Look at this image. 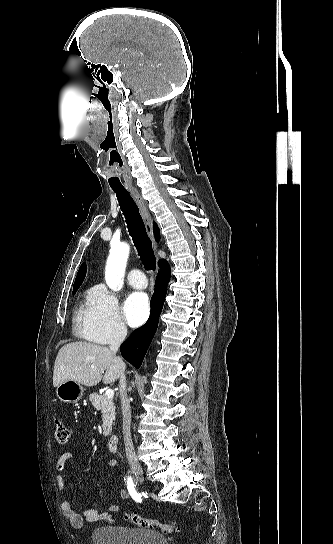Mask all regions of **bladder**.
<instances>
[{
  "label": "bladder",
  "mask_w": 333,
  "mask_h": 544,
  "mask_svg": "<svg viewBox=\"0 0 333 544\" xmlns=\"http://www.w3.org/2000/svg\"><path fill=\"white\" fill-rule=\"evenodd\" d=\"M93 544H169L160 532L129 526L109 525L95 529Z\"/></svg>",
  "instance_id": "obj_1"
}]
</instances>
